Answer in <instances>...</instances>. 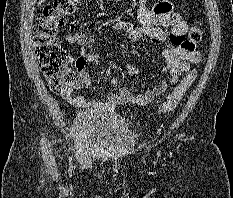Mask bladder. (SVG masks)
<instances>
[{
	"label": "bladder",
	"mask_w": 233,
	"mask_h": 198,
	"mask_svg": "<svg viewBox=\"0 0 233 198\" xmlns=\"http://www.w3.org/2000/svg\"><path fill=\"white\" fill-rule=\"evenodd\" d=\"M72 135L86 153H117L130 149L135 132L114 112H83L74 121Z\"/></svg>",
	"instance_id": "bladder-1"
}]
</instances>
